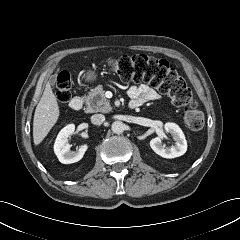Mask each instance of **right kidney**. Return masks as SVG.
<instances>
[{
	"mask_svg": "<svg viewBox=\"0 0 240 240\" xmlns=\"http://www.w3.org/2000/svg\"><path fill=\"white\" fill-rule=\"evenodd\" d=\"M75 131V125L69 124L65 126L57 135L54 143V152L58 160L63 164H71L78 162L82 159L88 146L86 144L81 145L78 150L70 151V145L67 143L68 138L73 135Z\"/></svg>",
	"mask_w": 240,
	"mask_h": 240,
	"instance_id": "1",
	"label": "right kidney"
}]
</instances>
